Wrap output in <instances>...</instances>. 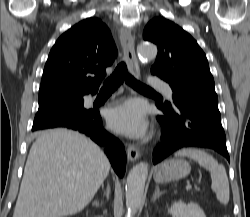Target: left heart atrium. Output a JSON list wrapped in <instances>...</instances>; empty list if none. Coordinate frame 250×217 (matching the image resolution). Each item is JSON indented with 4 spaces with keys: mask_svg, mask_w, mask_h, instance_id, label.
<instances>
[{
    "mask_svg": "<svg viewBox=\"0 0 250 217\" xmlns=\"http://www.w3.org/2000/svg\"><path fill=\"white\" fill-rule=\"evenodd\" d=\"M110 128L131 137H142L147 131V121L141 106L128 101L107 113Z\"/></svg>",
    "mask_w": 250,
    "mask_h": 217,
    "instance_id": "1",
    "label": "left heart atrium"
}]
</instances>
